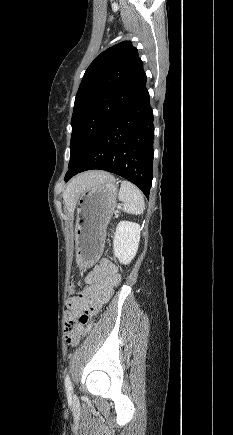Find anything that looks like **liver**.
Returning a JSON list of instances; mask_svg holds the SVG:
<instances>
[{
    "instance_id": "1",
    "label": "liver",
    "mask_w": 233,
    "mask_h": 435,
    "mask_svg": "<svg viewBox=\"0 0 233 435\" xmlns=\"http://www.w3.org/2000/svg\"><path fill=\"white\" fill-rule=\"evenodd\" d=\"M109 174L103 171H90L73 178L63 192L64 204L73 213L80 195L88 188L102 182Z\"/></svg>"
}]
</instances>
